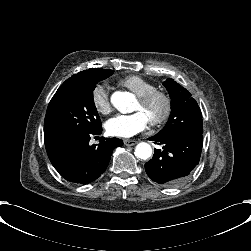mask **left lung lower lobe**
Returning a JSON list of instances; mask_svg holds the SVG:
<instances>
[{
    "label": "left lung lower lobe",
    "mask_w": 251,
    "mask_h": 251,
    "mask_svg": "<svg viewBox=\"0 0 251 251\" xmlns=\"http://www.w3.org/2000/svg\"><path fill=\"white\" fill-rule=\"evenodd\" d=\"M203 133L196 131L177 133L168 137L152 136L149 140L163 145V150L154 149L152 160L145 164L147 175L154 182L176 186L184 182L198 165Z\"/></svg>",
    "instance_id": "obj_1"
}]
</instances>
